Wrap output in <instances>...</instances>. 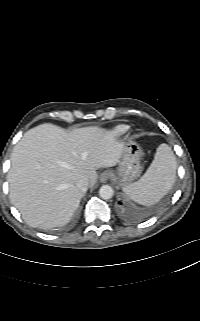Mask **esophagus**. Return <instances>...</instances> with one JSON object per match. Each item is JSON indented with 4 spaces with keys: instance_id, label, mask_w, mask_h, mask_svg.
<instances>
[{
    "instance_id": "34e87169",
    "label": "esophagus",
    "mask_w": 200,
    "mask_h": 321,
    "mask_svg": "<svg viewBox=\"0 0 200 321\" xmlns=\"http://www.w3.org/2000/svg\"><path fill=\"white\" fill-rule=\"evenodd\" d=\"M110 177H111V173L106 170V171H103V172L100 174L99 179H100V181H101L102 183H105V182H107V181L110 179Z\"/></svg>"
}]
</instances>
